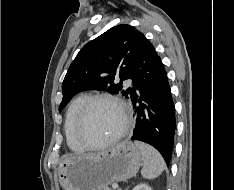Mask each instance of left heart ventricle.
<instances>
[{
    "mask_svg": "<svg viewBox=\"0 0 234 190\" xmlns=\"http://www.w3.org/2000/svg\"><path fill=\"white\" fill-rule=\"evenodd\" d=\"M119 110L110 102H95L89 109L83 127V134L93 144L104 142L114 136L122 127Z\"/></svg>",
    "mask_w": 234,
    "mask_h": 190,
    "instance_id": "left-heart-ventricle-1",
    "label": "left heart ventricle"
}]
</instances>
